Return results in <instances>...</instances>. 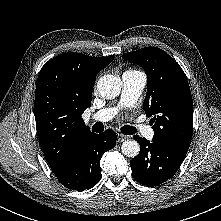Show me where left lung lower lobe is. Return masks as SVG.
Returning a JSON list of instances; mask_svg holds the SVG:
<instances>
[{"instance_id":"left-lung-lower-lobe-1","label":"left lung lower lobe","mask_w":221,"mask_h":221,"mask_svg":"<svg viewBox=\"0 0 221 221\" xmlns=\"http://www.w3.org/2000/svg\"><path fill=\"white\" fill-rule=\"evenodd\" d=\"M133 138L140 144V153L130 161L132 176L147 186H157L171 178L187 153L186 150L154 140L150 142L138 135Z\"/></svg>"}]
</instances>
